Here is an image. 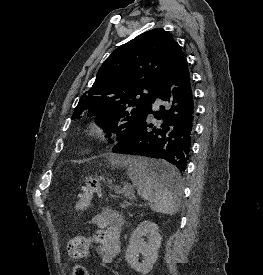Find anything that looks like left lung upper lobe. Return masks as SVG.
<instances>
[{
  "instance_id": "5c2ea615",
  "label": "left lung upper lobe",
  "mask_w": 263,
  "mask_h": 275,
  "mask_svg": "<svg viewBox=\"0 0 263 275\" xmlns=\"http://www.w3.org/2000/svg\"><path fill=\"white\" fill-rule=\"evenodd\" d=\"M177 50H181L178 43L161 28L115 49L101 65L93 86L80 98L72 119L89 112L106 137L115 133L119 142L131 136L150 109ZM143 90L149 93L143 95Z\"/></svg>"
}]
</instances>
